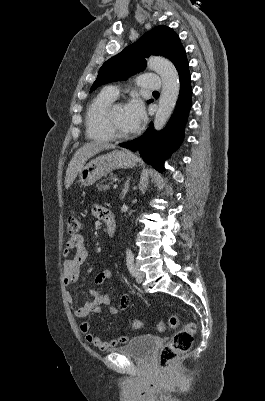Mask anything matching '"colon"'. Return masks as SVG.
Instances as JSON below:
<instances>
[{
    "instance_id": "1",
    "label": "colon",
    "mask_w": 265,
    "mask_h": 401,
    "mask_svg": "<svg viewBox=\"0 0 265 401\" xmlns=\"http://www.w3.org/2000/svg\"><path fill=\"white\" fill-rule=\"evenodd\" d=\"M66 226L67 232L70 235H76L81 228L79 217L76 215L68 216ZM123 308H126V305H124ZM179 323V315L172 314L167 320L160 321L157 328L159 331L164 332L167 329L178 327ZM132 327L134 329H140L142 327V321L134 320L132 322ZM195 332L196 325L192 322H187L173 335L172 339L162 347L159 355V362L162 370H170L177 358L190 350Z\"/></svg>"
}]
</instances>
